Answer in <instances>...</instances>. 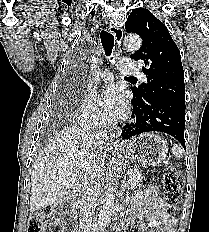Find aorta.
<instances>
[{
    "mask_svg": "<svg viewBox=\"0 0 209 232\" xmlns=\"http://www.w3.org/2000/svg\"><path fill=\"white\" fill-rule=\"evenodd\" d=\"M124 46L130 50H138L142 46V40L137 35L128 34L124 37ZM115 196L112 189H108L104 194V205L98 216V227L104 229L110 221L113 212Z\"/></svg>",
    "mask_w": 209,
    "mask_h": 232,
    "instance_id": "1",
    "label": "aorta"
}]
</instances>
